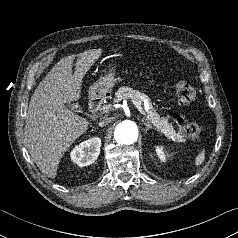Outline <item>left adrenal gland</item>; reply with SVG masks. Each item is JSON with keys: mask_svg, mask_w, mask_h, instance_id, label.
<instances>
[{"mask_svg": "<svg viewBox=\"0 0 238 238\" xmlns=\"http://www.w3.org/2000/svg\"><path fill=\"white\" fill-rule=\"evenodd\" d=\"M142 122L146 126V129H145L146 132L149 131L150 129H155L152 127V125L149 123L147 119H142Z\"/></svg>", "mask_w": 238, "mask_h": 238, "instance_id": "left-adrenal-gland-1", "label": "left adrenal gland"}]
</instances>
